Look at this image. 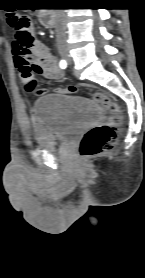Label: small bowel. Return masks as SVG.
<instances>
[{"label":"small bowel","mask_w":145,"mask_h":278,"mask_svg":"<svg viewBox=\"0 0 145 278\" xmlns=\"http://www.w3.org/2000/svg\"><path fill=\"white\" fill-rule=\"evenodd\" d=\"M32 49L35 52L34 55L32 54ZM12 55L14 64L19 70L20 81L25 90L29 80L33 77V69L48 81L56 80L62 76L60 63H58L56 57L49 48L41 44L39 41L33 42L29 48H24L14 37L12 43ZM34 58H37L40 63H35Z\"/></svg>","instance_id":"small-bowel-1"}]
</instances>
